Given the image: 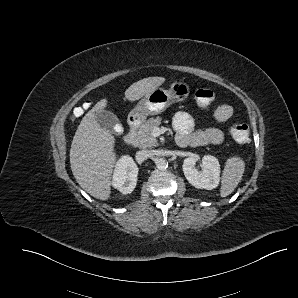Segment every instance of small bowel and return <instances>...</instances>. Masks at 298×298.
Instances as JSON below:
<instances>
[{
  "mask_svg": "<svg viewBox=\"0 0 298 298\" xmlns=\"http://www.w3.org/2000/svg\"><path fill=\"white\" fill-rule=\"evenodd\" d=\"M233 115V108L228 104H221L217 106L213 111V118L217 122H225L229 120ZM173 125L174 128L177 130L178 133H187L193 134L202 139V144H221L224 139V135L222 131L218 128H208L204 131L194 132V122L191 117L186 112H178L173 118Z\"/></svg>",
  "mask_w": 298,
  "mask_h": 298,
  "instance_id": "obj_1",
  "label": "small bowel"
}]
</instances>
